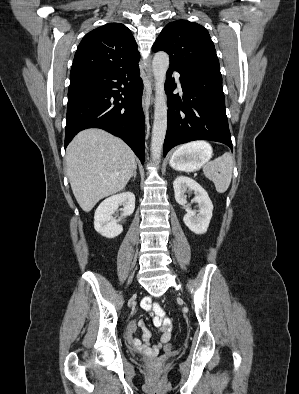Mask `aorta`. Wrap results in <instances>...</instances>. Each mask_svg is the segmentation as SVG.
<instances>
[{
	"instance_id": "aorta-1",
	"label": "aorta",
	"mask_w": 299,
	"mask_h": 394,
	"mask_svg": "<svg viewBox=\"0 0 299 394\" xmlns=\"http://www.w3.org/2000/svg\"><path fill=\"white\" fill-rule=\"evenodd\" d=\"M168 67V54L163 51L157 52L152 61V69L155 78V110L151 138V156L154 162L160 160L167 130V103L164 84Z\"/></svg>"
}]
</instances>
